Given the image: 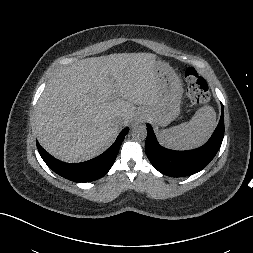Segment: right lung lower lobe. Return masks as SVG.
Here are the masks:
<instances>
[{
	"mask_svg": "<svg viewBox=\"0 0 253 253\" xmlns=\"http://www.w3.org/2000/svg\"><path fill=\"white\" fill-rule=\"evenodd\" d=\"M129 129L126 128L117 137L114 144L98 157L82 163H64L49 155L37 142L38 151L45 163L58 175L74 181L89 182L104 176L112 167L120 145Z\"/></svg>",
	"mask_w": 253,
	"mask_h": 253,
	"instance_id": "right-lung-lower-lobe-1",
	"label": "right lung lower lobe"
}]
</instances>
